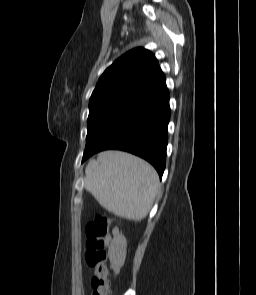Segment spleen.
I'll return each mask as SVG.
<instances>
[{"mask_svg":"<svg viewBox=\"0 0 256 295\" xmlns=\"http://www.w3.org/2000/svg\"><path fill=\"white\" fill-rule=\"evenodd\" d=\"M85 189L109 212L139 221L159 189L158 174L146 161L120 151L101 152L85 170Z\"/></svg>","mask_w":256,"mask_h":295,"instance_id":"3e777b00","label":"spleen"}]
</instances>
